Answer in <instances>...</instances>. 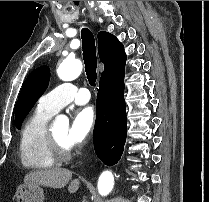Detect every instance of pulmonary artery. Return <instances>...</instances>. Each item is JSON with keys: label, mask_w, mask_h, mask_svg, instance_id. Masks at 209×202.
Segmentation results:
<instances>
[{"label": "pulmonary artery", "mask_w": 209, "mask_h": 202, "mask_svg": "<svg viewBox=\"0 0 209 202\" xmlns=\"http://www.w3.org/2000/svg\"><path fill=\"white\" fill-rule=\"evenodd\" d=\"M90 97L91 95L88 89L70 82H65L44 94L39 99L38 106L55 114L61 108L72 102L79 105L85 104L90 100Z\"/></svg>", "instance_id": "e3ab8cb5"}]
</instances>
